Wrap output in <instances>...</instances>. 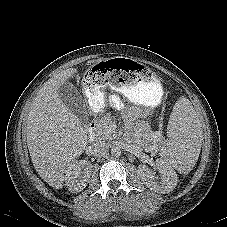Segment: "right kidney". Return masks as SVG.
<instances>
[{
  "mask_svg": "<svg viewBox=\"0 0 227 227\" xmlns=\"http://www.w3.org/2000/svg\"><path fill=\"white\" fill-rule=\"evenodd\" d=\"M92 165L85 160H73L66 169L65 185L73 193L81 192L90 180Z\"/></svg>",
  "mask_w": 227,
  "mask_h": 227,
  "instance_id": "ca27d5eb",
  "label": "right kidney"
}]
</instances>
